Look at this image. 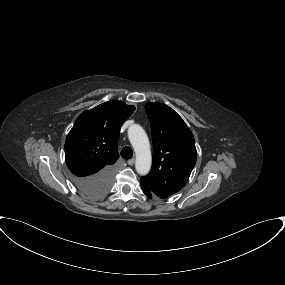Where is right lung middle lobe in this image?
Wrapping results in <instances>:
<instances>
[{
    "instance_id": "right-lung-middle-lobe-1",
    "label": "right lung middle lobe",
    "mask_w": 285,
    "mask_h": 285,
    "mask_svg": "<svg viewBox=\"0 0 285 285\" xmlns=\"http://www.w3.org/2000/svg\"><path fill=\"white\" fill-rule=\"evenodd\" d=\"M105 194H99V195H96V196H92L91 198H100L102 196H104Z\"/></svg>"
}]
</instances>
